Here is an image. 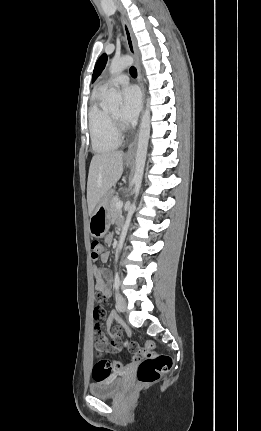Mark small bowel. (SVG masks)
<instances>
[{
    "label": "small bowel",
    "mask_w": 261,
    "mask_h": 431,
    "mask_svg": "<svg viewBox=\"0 0 261 431\" xmlns=\"http://www.w3.org/2000/svg\"><path fill=\"white\" fill-rule=\"evenodd\" d=\"M113 240V236L111 234L106 236V242L111 243ZM109 259V254L107 253L104 255L100 260L102 262H107ZM93 273L95 276V286H94V300L95 303L93 305V312L92 317L94 320V327H95V342L96 345L104 350L117 352L121 350L122 348V342L119 335V329L117 327L112 326V322L117 319V315L114 312H111L108 315V318L106 320V314L108 313V310L105 308L106 298L110 297L111 295V288H110V282H111V274L109 271L94 267ZM107 323V324H106ZM107 327L111 339L109 342H107L104 339L105 334V328ZM126 348L128 350V353L131 356H134L137 351L140 349V346L137 343L131 344L126 343ZM114 362V361H113ZM113 362H110V364H113ZM111 374H117V373H111Z\"/></svg>",
    "instance_id": "1"
}]
</instances>
